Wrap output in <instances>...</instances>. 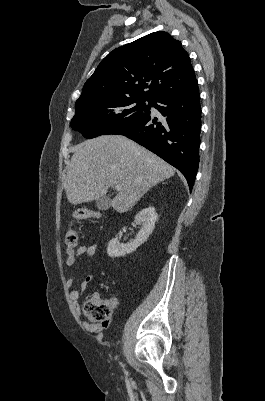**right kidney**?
Listing matches in <instances>:
<instances>
[{
	"label": "right kidney",
	"instance_id": "1",
	"mask_svg": "<svg viewBox=\"0 0 265 401\" xmlns=\"http://www.w3.org/2000/svg\"><path fill=\"white\" fill-rule=\"evenodd\" d=\"M158 219V215L154 207H148V209H142L135 217L136 225H142L136 239L131 243H119L117 239H111L108 243L107 253L109 257H124L128 253H133L135 249H138L142 243L147 241L149 235L155 229V223Z\"/></svg>",
	"mask_w": 265,
	"mask_h": 401
}]
</instances>
